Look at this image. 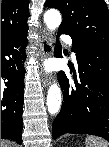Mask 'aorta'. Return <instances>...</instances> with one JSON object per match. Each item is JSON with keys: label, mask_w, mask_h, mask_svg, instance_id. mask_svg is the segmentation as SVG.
Instances as JSON below:
<instances>
[{"label": "aorta", "mask_w": 109, "mask_h": 147, "mask_svg": "<svg viewBox=\"0 0 109 147\" xmlns=\"http://www.w3.org/2000/svg\"><path fill=\"white\" fill-rule=\"evenodd\" d=\"M61 21V14L56 9H49L44 14V22L51 31L57 29L61 24ZM61 100V89L57 83H54L50 86L47 94V107L51 115H55L59 112Z\"/></svg>", "instance_id": "1"}]
</instances>
